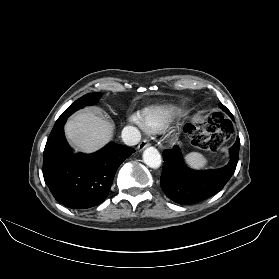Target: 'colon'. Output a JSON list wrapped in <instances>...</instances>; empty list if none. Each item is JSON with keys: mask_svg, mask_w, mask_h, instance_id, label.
<instances>
[{"mask_svg": "<svg viewBox=\"0 0 279 279\" xmlns=\"http://www.w3.org/2000/svg\"><path fill=\"white\" fill-rule=\"evenodd\" d=\"M231 133V123L220 113H214L205 120L194 124L191 141L196 147L213 151L222 146Z\"/></svg>", "mask_w": 279, "mask_h": 279, "instance_id": "5ec220e1", "label": "colon"}]
</instances>
